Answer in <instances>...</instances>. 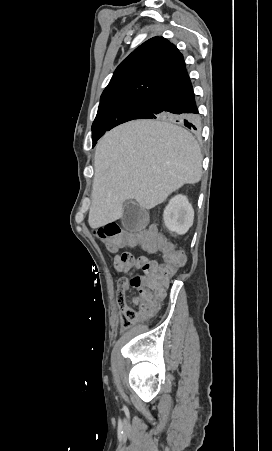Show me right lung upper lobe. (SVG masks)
Listing matches in <instances>:
<instances>
[{
    "label": "right lung upper lobe",
    "instance_id": "right-lung-upper-lobe-1",
    "mask_svg": "<svg viewBox=\"0 0 272 451\" xmlns=\"http://www.w3.org/2000/svg\"><path fill=\"white\" fill-rule=\"evenodd\" d=\"M185 68L183 55L163 37L149 39L115 70L101 95L100 104L151 95Z\"/></svg>",
    "mask_w": 272,
    "mask_h": 451
}]
</instances>
